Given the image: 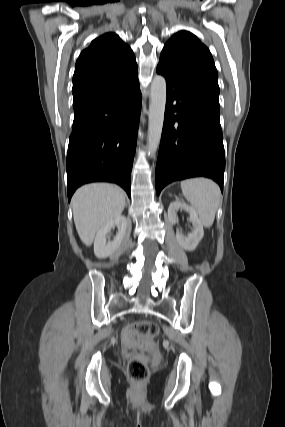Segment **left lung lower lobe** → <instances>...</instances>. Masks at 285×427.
<instances>
[{"mask_svg":"<svg viewBox=\"0 0 285 427\" xmlns=\"http://www.w3.org/2000/svg\"><path fill=\"white\" fill-rule=\"evenodd\" d=\"M167 81V101L156 165V193L169 183L204 176L223 191L225 156L219 98L158 64Z\"/></svg>","mask_w":285,"mask_h":427,"instance_id":"0a47b994","label":"left lung lower lobe"}]
</instances>
